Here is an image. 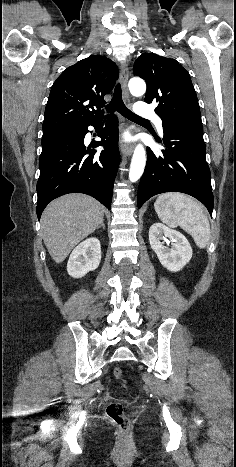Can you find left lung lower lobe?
Wrapping results in <instances>:
<instances>
[{
  "label": "left lung lower lobe",
  "mask_w": 236,
  "mask_h": 467,
  "mask_svg": "<svg viewBox=\"0 0 236 467\" xmlns=\"http://www.w3.org/2000/svg\"><path fill=\"white\" fill-rule=\"evenodd\" d=\"M162 154L147 148V163L139 183L137 205L164 192H182L202 202L212 215L214 197L211 174L205 158L202 124L180 123L163 126Z\"/></svg>",
  "instance_id": "obj_1"
}]
</instances>
